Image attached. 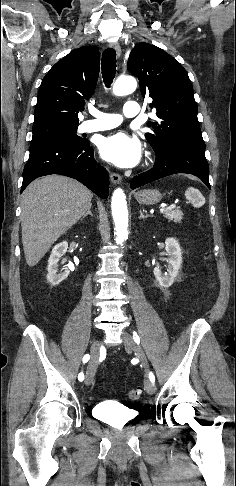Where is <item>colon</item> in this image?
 <instances>
[{"label":"colon","mask_w":236,"mask_h":486,"mask_svg":"<svg viewBox=\"0 0 236 486\" xmlns=\"http://www.w3.org/2000/svg\"><path fill=\"white\" fill-rule=\"evenodd\" d=\"M141 389L140 388H135L129 391L128 396L131 400H137L141 396Z\"/></svg>","instance_id":"1"}]
</instances>
